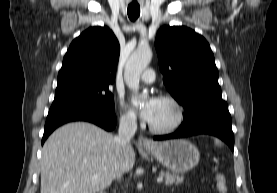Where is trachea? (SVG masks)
Wrapping results in <instances>:
<instances>
[{
	"instance_id": "trachea-1",
	"label": "trachea",
	"mask_w": 277,
	"mask_h": 193,
	"mask_svg": "<svg viewBox=\"0 0 277 193\" xmlns=\"http://www.w3.org/2000/svg\"><path fill=\"white\" fill-rule=\"evenodd\" d=\"M129 18L135 21L140 15V7L138 5H129L127 9Z\"/></svg>"
}]
</instances>
